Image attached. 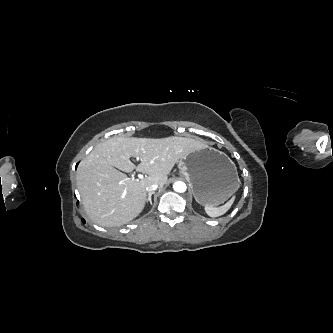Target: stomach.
Instances as JSON below:
<instances>
[{
	"instance_id": "stomach-1",
	"label": "stomach",
	"mask_w": 333,
	"mask_h": 333,
	"mask_svg": "<svg viewBox=\"0 0 333 333\" xmlns=\"http://www.w3.org/2000/svg\"><path fill=\"white\" fill-rule=\"evenodd\" d=\"M178 168L190 182L195 200L203 206L217 207L239 188L234 162L212 147L188 153L178 161Z\"/></svg>"
}]
</instances>
